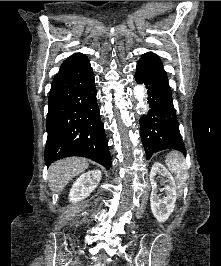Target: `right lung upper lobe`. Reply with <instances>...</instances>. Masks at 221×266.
I'll list each match as a JSON object with an SVG mask.
<instances>
[{"mask_svg":"<svg viewBox=\"0 0 221 266\" xmlns=\"http://www.w3.org/2000/svg\"><path fill=\"white\" fill-rule=\"evenodd\" d=\"M85 60H87L86 55L82 54V53H75L73 55H71L70 57H68L61 65L60 67V71H64L66 69L72 68L74 66H77L81 63H83Z\"/></svg>","mask_w":221,"mask_h":266,"instance_id":"cb5924a9","label":"right lung upper lobe"}]
</instances>
